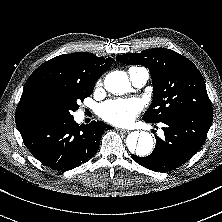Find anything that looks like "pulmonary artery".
I'll list each match as a JSON object with an SVG mask.
<instances>
[{
    "label": "pulmonary artery",
    "instance_id": "obj_1",
    "mask_svg": "<svg viewBox=\"0 0 222 222\" xmlns=\"http://www.w3.org/2000/svg\"><path fill=\"white\" fill-rule=\"evenodd\" d=\"M129 75L133 84L137 87L144 86L149 78V73L145 68L129 69Z\"/></svg>",
    "mask_w": 222,
    "mask_h": 222
}]
</instances>
